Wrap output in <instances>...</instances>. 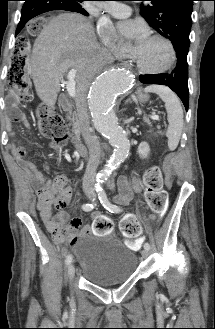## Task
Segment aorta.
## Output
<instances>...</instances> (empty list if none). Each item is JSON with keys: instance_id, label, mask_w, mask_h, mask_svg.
<instances>
[{"instance_id": "obj_1", "label": "aorta", "mask_w": 215, "mask_h": 329, "mask_svg": "<svg viewBox=\"0 0 215 329\" xmlns=\"http://www.w3.org/2000/svg\"><path fill=\"white\" fill-rule=\"evenodd\" d=\"M132 83L133 76L129 71L113 67L103 71L90 86L88 104L94 127L114 147L112 158L98 175L99 181L107 180L113 169L128 156L130 142L118 124L114 105L118 94L128 90Z\"/></svg>"}]
</instances>
